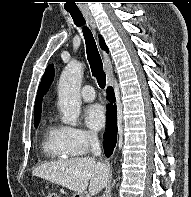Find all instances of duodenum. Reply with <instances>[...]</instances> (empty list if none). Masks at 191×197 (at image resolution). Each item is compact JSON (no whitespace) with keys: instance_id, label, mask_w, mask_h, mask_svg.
<instances>
[{"instance_id":"410a0bca","label":"duodenum","mask_w":191,"mask_h":197,"mask_svg":"<svg viewBox=\"0 0 191 197\" xmlns=\"http://www.w3.org/2000/svg\"><path fill=\"white\" fill-rule=\"evenodd\" d=\"M76 197H82V196H80V195H76Z\"/></svg>"}]
</instances>
